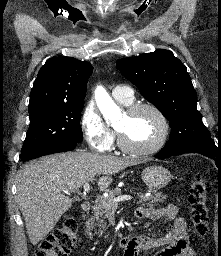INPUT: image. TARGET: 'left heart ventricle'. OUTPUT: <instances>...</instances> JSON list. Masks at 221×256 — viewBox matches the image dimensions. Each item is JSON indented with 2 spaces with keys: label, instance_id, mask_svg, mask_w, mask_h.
<instances>
[{
  "label": "left heart ventricle",
  "instance_id": "1",
  "mask_svg": "<svg viewBox=\"0 0 221 256\" xmlns=\"http://www.w3.org/2000/svg\"><path fill=\"white\" fill-rule=\"evenodd\" d=\"M127 144L133 147H147L153 144L160 134V123L149 110H141L133 115L125 113L117 124Z\"/></svg>",
  "mask_w": 221,
  "mask_h": 256
}]
</instances>
